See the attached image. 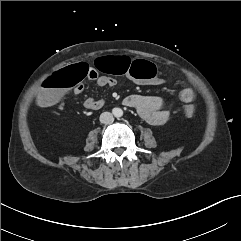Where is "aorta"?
Masks as SVG:
<instances>
[{
	"label": "aorta",
	"instance_id": "762f6f07",
	"mask_svg": "<svg viewBox=\"0 0 241 241\" xmlns=\"http://www.w3.org/2000/svg\"><path fill=\"white\" fill-rule=\"evenodd\" d=\"M113 114L117 118L122 117L123 116V110L121 108H114Z\"/></svg>",
	"mask_w": 241,
	"mask_h": 241
}]
</instances>
